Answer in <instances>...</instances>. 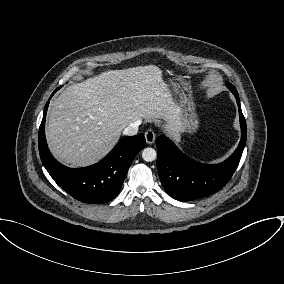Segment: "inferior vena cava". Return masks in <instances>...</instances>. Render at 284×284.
I'll return each instance as SVG.
<instances>
[{"label": "inferior vena cava", "instance_id": "inferior-vena-cava-1", "mask_svg": "<svg viewBox=\"0 0 284 284\" xmlns=\"http://www.w3.org/2000/svg\"><path fill=\"white\" fill-rule=\"evenodd\" d=\"M139 123H131L129 124L123 131V134L126 136H133L136 135L138 132Z\"/></svg>", "mask_w": 284, "mask_h": 284}]
</instances>
